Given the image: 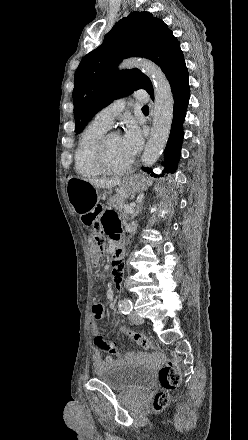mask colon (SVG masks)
<instances>
[{"label": "colon", "instance_id": "1", "mask_svg": "<svg viewBox=\"0 0 248 440\" xmlns=\"http://www.w3.org/2000/svg\"><path fill=\"white\" fill-rule=\"evenodd\" d=\"M103 210L100 206L93 205L83 216L82 221L91 227L89 239L91 243V256L96 263L104 249V225ZM120 334L133 340L143 348H154L155 344L145 334L127 328H118ZM97 346L108 353L118 355L117 347L114 343L105 340L102 336L96 338ZM159 383L162 390L156 393L154 398V408L164 409L170 400L169 392L175 390L181 381L180 370L175 362L168 360L158 371Z\"/></svg>", "mask_w": 248, "mask_h": 440}]
</instances>
